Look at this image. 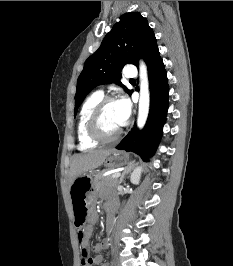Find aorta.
<instances>
[{
	"label": "aorta",
	"instance_id": "1",
	"mask_svg": "<svg viewBox=\"0 0 233 266\" xmlns=\"http://www.w3.org/2000/svg\"><path fill=\"white\" fill-rule=\"evenodd\" d=\"M139 77H140V98H139V111L137 124L139 128H143L149 113L150 106V92L149 81L147 74V67L143 61L139 64Z\"/></svg>",
	"mask_w": 233,
	"mask_h": 266
}]
</instances>
